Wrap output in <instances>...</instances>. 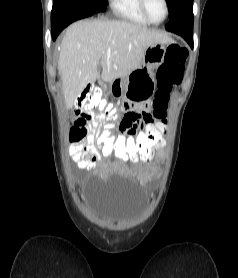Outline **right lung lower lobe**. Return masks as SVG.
<instances>
[{
  "mask_svg": "<svg viewBox=\"0 0 238 278\" xmlns=\"http://www.w3.org/2000/svg\"><path fill=\"white\" fill-rule=\"evenodd\" d=\"M94 12L86 6L71 0H58L53 2L51 12L52 39L70 23L93 15Z\"/></svg>",
  "mask_w": 238,
  "mask_h": 278,
  "instance_id": "right-lung-lower-lobe-1",
  "label": "right lung lower lobe"
}]
</instances>
